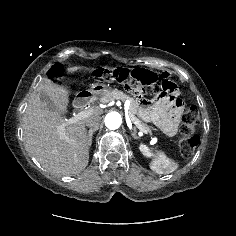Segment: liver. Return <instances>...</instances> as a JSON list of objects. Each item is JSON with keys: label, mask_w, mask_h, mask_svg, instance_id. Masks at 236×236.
I'll use <instances>...</instances> for the list:
<instances>
[{"label": "liver", "mask_w": 236, "mask_h": 236, "mask_svg": "<svg viewBox=\"0 0 236 236\" xmlns=\"http://www.w3.org/2000/svg\"><path fill=\"white\" fill-rule=\"evenodd\" d=\"M80 69L71 67L67 71L74 73ZM40 93H45L62 114L67 111L69 104V92L63 86L47 78L38 84L23 115L26 148L44 168L54 174L66 176L81 172L89 162L86 121L100 117L102 110L95 109L93 115L67 124L61 136L59 127L65 124L66 119L62 114L46 108Z\"/></svg>", "instance_id": "1"}]
</instances>
